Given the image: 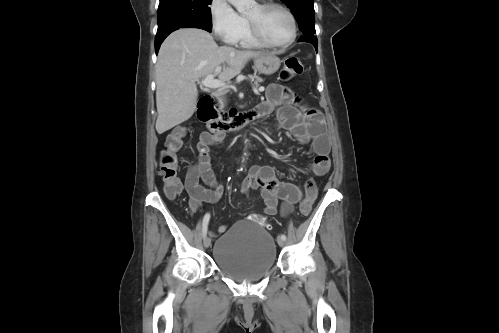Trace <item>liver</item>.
<instances>
[{
	"instance_id": "obj_1",
	"label": "liver",
	"mask_w": 499,
	"mask_h": 333,
	"mask_svg": "<svg viewBox=\"0 0 499 333\" xmlns=\"http://www.w3.org/2000/svg\"><path fill=\"white\" fill-rule=\"evenodd\" d=\"M263 52L218 46L207 31L179 29L162 43L156 64V130L162 134L192 117L196 110V81L223 66L219 80L238 75L246 62ZM225 64L227 66H225Z\"/></svg>"
}]
</instances>
